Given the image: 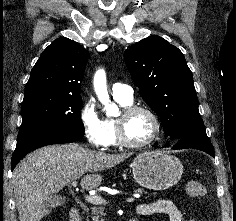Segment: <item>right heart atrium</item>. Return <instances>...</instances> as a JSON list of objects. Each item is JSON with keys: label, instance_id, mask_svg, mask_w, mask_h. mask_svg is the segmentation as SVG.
Listing matches in <instances>:
<instances>
[{"label": "right heart atrium", "instance_id": "right-heart-atrium-1", "mask_svg": "<svg viewBox=\"0 0 236 221\" xmlns=\"http://www.w3.org/2000/svg\"><path fill=\"white\" fill-rule=\"evenodd\" d=\"M79 120L83 134L92 146L103 148L108 145V134L104 120H102L92 98L83 102L79 111Z\"/></svg>", "mask_w": 236, "mask_h": 221}]
</instances>
